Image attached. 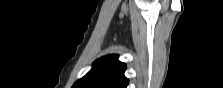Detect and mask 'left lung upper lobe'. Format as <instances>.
<instances>
[{"label": "left lung upper lobe", "instance_id": "1", "mask_svg": "<svg viewBox=\"0 0 223 88\" xmlns=\"http://www.w3.org/2000/svg\"><path fill=\"white\" fill-rule=\"evenodd\" d=\"M117 57L109 55L96 60L93 68L72 88H126L129 83L124 76L126 65Z\"/></svg>", "mask_w": 223, "mask_h": 88}]
</instances>
